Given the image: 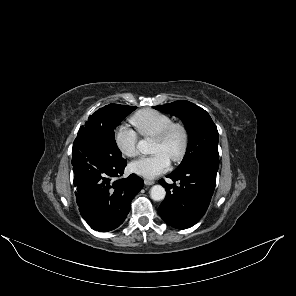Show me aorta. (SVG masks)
Masks as SVG:
<instances>
[{
  "label": "aorta",
  "instance_id": "1",
  "mask_svg": "<svg viewBox=\"0 0 296 296\" xmlns=\"http://www.w3.org/2000/svg\"><path fill=\"white\" fill-rule=\"evenodd\" d=\"M142 152H148L150 147V140H140L137 145ZM166 191L161 185H154L150 190V196L154 201H161L165 198Z\"/></svg>",
  "mask_w": 296,
  "mask_h": 296
}]
</instances>
